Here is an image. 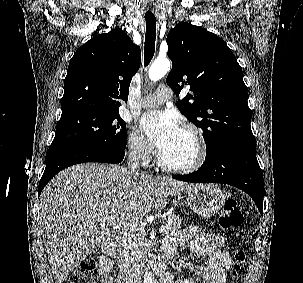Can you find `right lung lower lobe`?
Listing matches in <instances>:
<instances>
[{"mask_svg": "<svg viewBox=\"0 0 303 283\" xmlns=\"http://www.w3.org/2000/svg\"><path fill=\"white\" fill-rule=\"evenodd\" d=\"M125 151H113L90 146H62L49 148L46 168L39 182L38 195L45 185L61 170L79 163L102 162L117 164L124 158Z\"/></svg>", "mask_w": 303, "mask_h": 283, "instance_id": "98d812e1", "label": "right lung lower lobe"}]
</instances>
